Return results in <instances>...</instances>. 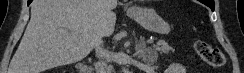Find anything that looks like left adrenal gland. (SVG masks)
I'll use <instances>...</instances> for the list:
<instances>
[{
	"label": "left adrenal gland",
	"mask_w": 244,
	"mask_h": 73,
	"mask_svg": "<svg viewBox=\"0 0 244 73\" xmlns=\"http://www.w3.org/2000/svg\"><path fill=\"white\" fill-rule=\"evenodd\" d=\"M138 58H143L149 48L146 47V43L143 39H140L136 48Z\"/></svg>",
	"instance_id": "obj_1"
}]
</instances>
